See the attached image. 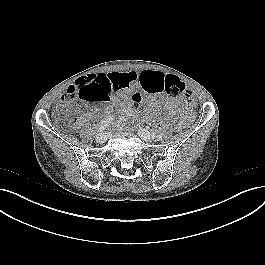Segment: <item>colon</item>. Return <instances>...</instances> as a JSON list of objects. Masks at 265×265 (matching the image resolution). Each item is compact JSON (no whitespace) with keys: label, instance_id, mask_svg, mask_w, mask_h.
<instances>
[{"label":"colon","instance_id":"1","mask_svg":"<svg viewBox=\"0 0 265 265\" xmlns=\"http://www.w3.org/2000/svg\"><path fill=\"white\" fill-rule=\"evenodd\" d=\"M111 89L107 82L101 78L80 79L75 85L71 86L61 101V108L59 110V118L65 121L67 118L66 105L79 98L85 101H104L111 94ZM157 96V100L161 101V95L166 94L172 98L183 97V102L187 110H193L196 102L192 95L185 90L184 83L175 75L168 74L165 76L163 82L157 86L156 90L152 93ZM132 101L135 108L140 107L143 102V96L140 92H135L132 95ZM77 120L70 121V127H75Z\"/></svg>","mask_w":265,"mask_h":265}]
</instances>
